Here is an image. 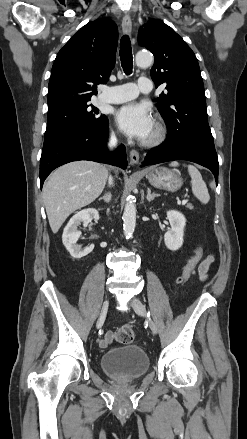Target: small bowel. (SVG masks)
I'll list each match as a JSON object with an SVG mask.
<instances>
[{
    "mask_svg": "<svg viewBox=\"0 0 247 439\" xmlns=\"http://www.w3.org/2000/svg\"><path fill=\"white\" fill-rule=\"evenodd\" d=\"M214 262V256L208 255L199 265L198 267V273L202 280H205L208 276L210 267L212 263ZM113 340V333L107 332L104 337L99 341V345L102 348L107 347Z\"/></svg>",
    "mask_w": 247,
    "mask_h": 439,
    "instance_id": "obj_1",
    "label": "small bowel"
}]
</instances>
